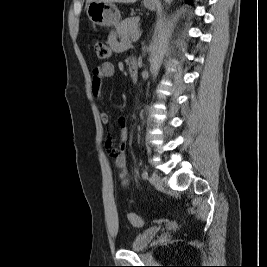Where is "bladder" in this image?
Listing matches in <instances>:
<instances>
[{"label":"bladder","instance_id":"obj_1","mask_svg":"<svg viewBox=\"0 0 267 267\" xmlns=\"http://www.w3.org/2000/svg\"><path fill=\"white\" fill-rule=\"evenodd\" d=\"M158 232V227H150L138 233L130 243V249L133 251L145 250L153 241Z\"/></svg>","mask_w":267,"mask_h":267}]
</instances>
